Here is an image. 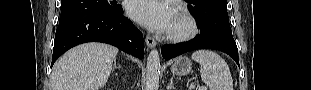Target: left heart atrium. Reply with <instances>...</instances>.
Masks as SVG:
<instances>
[{
  "label": "left heart atrium",
  "mask_w": 311,
  "mask_h": 90,
  "mask_svg": "<svg viewBox=\"0 0 311 90\" xmlns=\"http://www.w3.org/2000/svg\"><path fill=\"white\" fill-rule=\"evenodd\" d=\"M130 17L151 31L168 32L174 12L164 1L132 0L129 4Z\"/></svg>",
  "instance_id": "1"
}]
</instances>
